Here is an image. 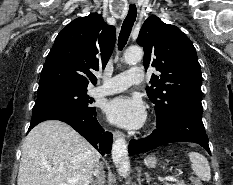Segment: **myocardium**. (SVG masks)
<instances>
[{"label": "myocardium", "instance_id": "myocardium-1", "mask_svg": "<svg viewBox=\"0 0 233 185\" xmlns=\"http://www.w3.org/2000/svg\"><path fill=\"white\" fill-rule=\"evenodd\" d=\"M148 125H149V126H152V125H153V122H150Z\"/></svg>", "mask_w": 233, "mask_h": 185}]
</instances>
